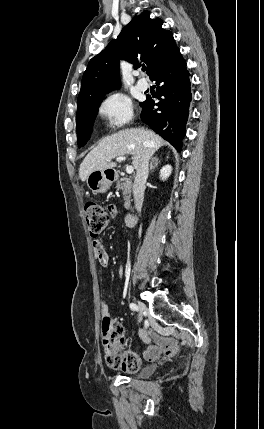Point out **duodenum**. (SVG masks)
Here are the masks:
<instances>
[{
    "mask_svg": "<svg viewBox=\"0 0 264 429\" xmlns=\"http://www.w3.org/2000/svg\"><path fill=\"white\" fill-rule=\"evenodd\" d=\"M138 222V217L134 214H127L125 216V223L127 226L132 227Z\"/></svg>",
    "mask_w": 264,
    "mask_h": 429,
    "instance_id": "410a0bca",
    "label": "duodenum"
}]
</instances>
